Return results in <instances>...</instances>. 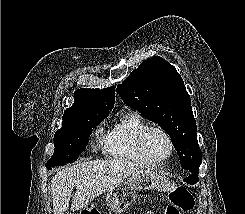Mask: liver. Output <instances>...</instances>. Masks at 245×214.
Masks as SVG:
<instances>
[{"mask_svg": "<svg viewBox=\"0 0 245 214\" xmlns=\"http://www.w3.org/2000/svg\"><path fill=\"white\" fill-rule=\"evenodd\" d=\"M137 171L138 165L126 159L90 160L68 166L51 180L53 213L63 214L68 210L74 188L70 209L78 211Z\"/></svg>", "mask_w": 245, "mask_h": 214, "instance_id": "obj_1", "label": "liver"}]
</instances>
